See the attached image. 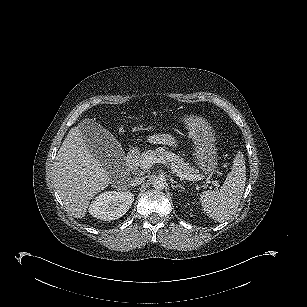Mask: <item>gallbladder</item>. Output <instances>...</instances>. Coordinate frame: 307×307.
I'll list each match as a JSON object with an SVG mask.
<instances>
[{
    "label": "gallbladder",
    "instance_id": "gallbladder-1",
    "mask_svg": "<svg viewBox=\"0 0 307 307\" xmlns=\"http://www.w3.org/2000/svg\"><path fill=\"white\" fill-rule=\"evenodd\" d=\"M83 138L89 151L106 166L108 171L115 160L123 156L120 143L99 124L90 122L86 124Z\"/></svg>",
    "mask_w": 307,
    "mask_h": 307
}]
</instances>
